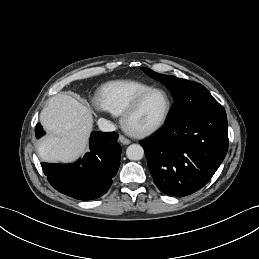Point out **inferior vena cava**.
Segmentation results:
<instances>
[{"instance_id": "602c4592", "label": "inferior vena cava", "mask_w": 259, "mask_h": 259, "mask_svg": "<svg viewBox=\"0 0 259 259\" xmlns=\"http://www.w3.org/2000/svg\"><path fill=\"white\" fill-rule=\"evenodd\" d=\"M98 127L103 132H112L116 130V126L107 119L100 118L97 121Z\"/></svg>"}]
</instances>
